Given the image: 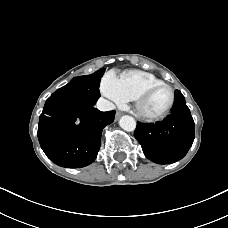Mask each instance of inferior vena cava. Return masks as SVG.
Instances as JSON below:
<instances>
[{"instance_id": "obj_1", "label": "inferior vena cava", "mask_w": 228, "mask_h": 228, "mask_svg": "<svg viewBox=\"0 0 228 228\" xmlns=\"http://www.w3.org/2000/svg\"><path fill=\"white\" fill-rule=\"evenodd\" d=\"M96 107L100 111H110V110H114L115 109V105L112 102H110L109 100H106L104 98H100L97 101Z\"/></svg>"}]
</instances>
